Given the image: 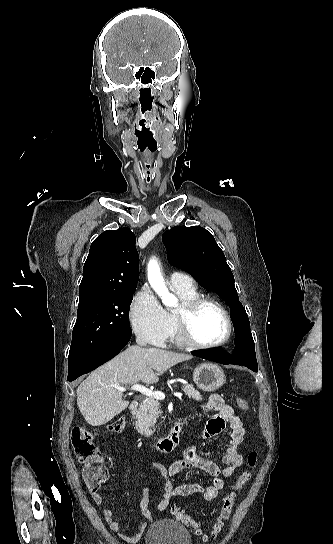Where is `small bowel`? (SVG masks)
I'll return each instance as SVG.
<instances>
[{
	"instance_id": "obj_1",
	"label": "small bowel",
	"mask_w": 333,
	"mask_h": 544,
	"mask_svg": "<svg viewBox=\"0 0 333 544\" xmlns=\"http://www.w3.org/2000/svg\"><path fill=\"white\" fill-rule=\"evenodd\" d=\"M203 408L206 411L214 412L215 414L208 420L204 430L198 436L201 440H207L219 435L224 431L226 425L230 429V440L228 447L223 455V463L225 466L221 468L212 460L206 459L200 455L195 445H190L185 448L183 457L168 465L158 461H152L151 467L159 472L163 478V498L157 504L158 511L167 509L171 501L175 498L189 497L195 494H201L204 500L212 501L216 499L219 492L224 487V479L231 477L235 470L241 467L244 463V458L239 451V447L244 440L245 429L241 419L235 414L234 409L225 403L223 398L217 394H211ZM184 426L189 424L188 420H184ZM192 468H199L206 474L212 477L210 486H202L198 483H185L175 486L171 477L189 471ZM94 502L98 505L102 504V495L99 490H90ZM142 499L140 501V509L143 521L139 525L138 532L133 535H128L122 532V526L117 521L114 513L107 507L102 508V515L109 524L110 529L118 533L120 537L129 543H136L141 539L142 534L146 530L147 524L152 519V512L149 508V488L144 487L142 491Z\"/></svg>"
}]
</instances>
